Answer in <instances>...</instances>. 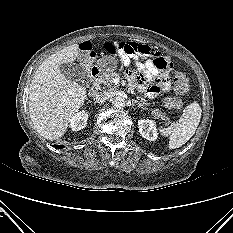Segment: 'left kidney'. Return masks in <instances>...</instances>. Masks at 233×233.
Returning a JSON list of instances; mask_svg holds the SVG:
<instances>
[{"label": "left kidney", "mask_w": 233, "mask_h": 233, "mask_svg": "<svg viewBox=\"0 0 233 233\" xmlns=\"http://www.w3.org/2000/svg\"><path fill=\"white\" fill-rule=\"evenodd\" d=\"M141 136L149 141H155L158 137L156 124L153 120L141 119L138 121Z\"/></svg>", "instance_id": "1"}]
</instances>
